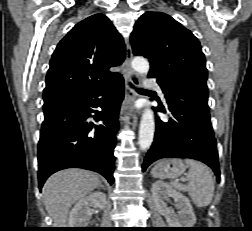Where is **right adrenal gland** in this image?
I'll list each match as a JSON object with an SVG mask.
<instances>
[{"instance_id":"right-adrenal-gland-1","label":"right adrenal gland","mask_w":252,"mask_h":231,"mask_svg":"<svg viewBox=\"0 0 252 231\" xmlns=\"http://www.w3.org/2000/svg\"><path fill=\"white\" fill-rule=\"evenodd\" d=\"M99 186L104 189V186L102 184H100Z\"/></svg>"}]
</instances>
